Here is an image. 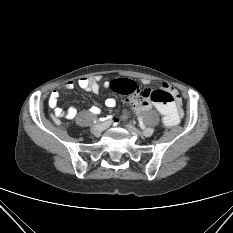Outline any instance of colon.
Listing matches in <instances>:
<instances>
[{"label":"colon","mask_w":233,"mask_h":233,"mask_svg":"<svg viewBox=\"0 0 233 233\" xmlns=\"http://www.w3.org/2000/svg\"><path fill=\"white\" fill-rule=\"evenodd\" d=\"M111 89L124 95H130L131 98L140 102H153L163 116V124L167 128H172L179 123V112L175 106L172 94L162 88L143 89L132 80L117 79L111 82Z\"/></svg>","instance_id":"1"}]
</instances>
